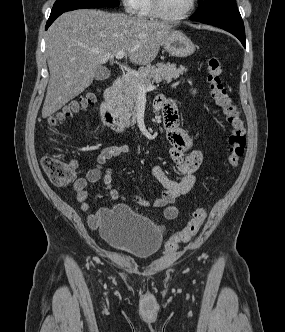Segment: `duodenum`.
I'll return each instance as SVG.
<instances>
[{"instance_id": "410a0bca", "label": "duodenum", "mask_w": 285, "mask_h": 332, "mask_svg": "<svg viewBox=\"0 0 285 332\" xmlns=\"http://www.w3.org/2000/svg\"><path fill=\"white\" fill-rule=\"evenodd\" d=\"M123 86V77L118 76L104 91V100L101 104L100 113L105 125L116 132H123L125 124L122 122L116 107V101Z\"/></svg>"}]
</instances>
